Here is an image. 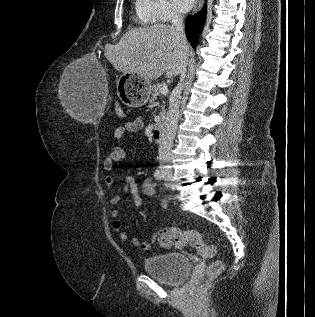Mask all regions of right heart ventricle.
<instances>
[{"instance_id": "1", "label": "right heart ventricle", "mask_w": 315, "mask_h": 317, "mask_svg": "<svg viewBox=\"0 0 315 317\" xmlns=\"http://www.w3.org/2000/svg\"><path fill=\"white\" fill-rule=\"evenodd\" d=\"M135 20L140 25H150L155 20L150 15L143 0H136L135 1Z\"/></svg>"}]
</instances>
